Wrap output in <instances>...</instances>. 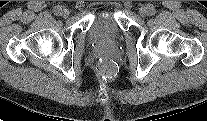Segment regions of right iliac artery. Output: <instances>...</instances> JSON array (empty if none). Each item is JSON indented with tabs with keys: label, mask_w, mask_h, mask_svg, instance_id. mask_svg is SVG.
Masks as SVG:
<instances>
[{
	"label": "right iliac artery",
	"mask_w": 207,
	"mask_h": 121,
	"mask_svg": "<svg viewBox=\"0 0 207 121\" xmlns=\"http://www.w3.org/2000/svg\"><path fill=\"white\" fill-rule=\"evenodd\" d=\"M54 13H55V15H60V13H61V6H56L54 8Z\"/></svg>",
	"instance_id": "1"
}]
</instances>
